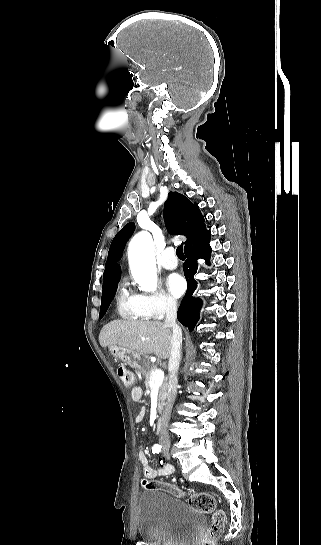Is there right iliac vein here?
I'll return each mask as SVG.
<instances>
[{
    "label": "right iliac vein",
    "instance_id": "right-iliac-vein-1",
    "mask_svg": "<svg viewBox=\"0 0 321 545\" xmlns=\"http://www.w3.org/2000/svg\"><path fill=\"white\" fill-rule=\"evenodd\" d=\"M164 453H165V454H169V450H168V449H165V450H164Z\"/></svg>",
    "mask_w": 321,
    "mask_h": 545
}]
</instances>
